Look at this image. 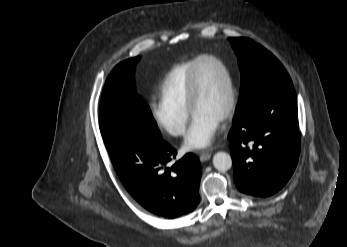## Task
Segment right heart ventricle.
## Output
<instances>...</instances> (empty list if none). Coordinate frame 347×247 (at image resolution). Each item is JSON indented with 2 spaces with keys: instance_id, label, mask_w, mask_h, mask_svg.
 <instances>
[{
  "instance_id": "e07e8e85",
  "label": "right heart ventricle",
  "mask_w": 347,
  "mask_h": 247,
  "mask_svg": "<svg viewBox=\"0 0 347 247\" xmlns=\"http://www.w3.org/2000/svg\"><path fill=\"white\" fill-rule=\"evenodd\" d=\"M198 59L199 57L178 64L166 74L160 87L162 100L188 109L187 94L190 72Z\"/></svg>"
}]
</instances>
